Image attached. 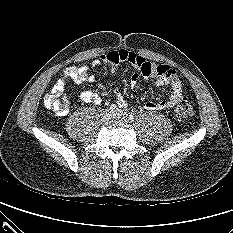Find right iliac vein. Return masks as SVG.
<instances>
[{"mask_svg":"<svg viewBox=\"0 0 233 233\" xmlns=\"http://www.w3.org/2000/svg\"><path fill=\"white\" fill-rule=\"evenodd\" d=\"M100 117H101L102 121H104V122L108 121L112 118V112L108 109H105L101 112Z\"/></svg>","mask_w":233,"mask_h":233,"instance_id":"obj_1","label":"right iliac vein"}]
</instances>
